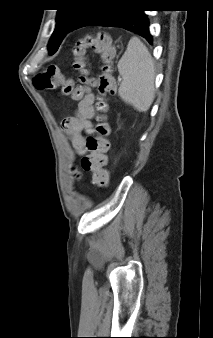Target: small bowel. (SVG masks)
<instances>
[{
    "mask_svg": "<svg viewBox=\"0 0 213 338\" xmlns=\"http://www.w3.org/2000/svg\"><path fill=\"white\" fill-rule=\"evenodd\" d=\"M94 115V96L88 93L79 101L77 106L75 119L78 122V128L75 131L64 128L74 152L79 156H83L87 152L85 135L92 133L91 119Z\"/></svg>",
    "mask_w": 213,
    "mask_h": 338,
    "instance_id": "obj_1",
    "label": "small bowel"
}]
</instances>
